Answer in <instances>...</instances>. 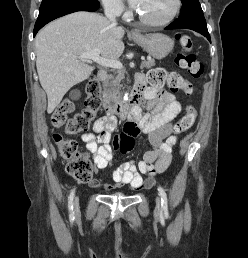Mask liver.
<instances>
[{
	"label": "liver",
	"instance_id": "6515ba94",
	"mask_svg": "<svg viewBox=\"0 0 248 258\" xmlns=\"http://www.w3.org/2000/svg\"><path fill=\"white\" fill-rule=\"evenodd\" d=\"M125 30L96 13L76 12L46 25L35 38L36 67L48 98L50 114L67 91L86 80L94 68L78 58L97 50L105 59L117 60L124 51Z\"/></svg>",
	"mask_w": 248,
	"mask_h": 258
}]
</instances>
